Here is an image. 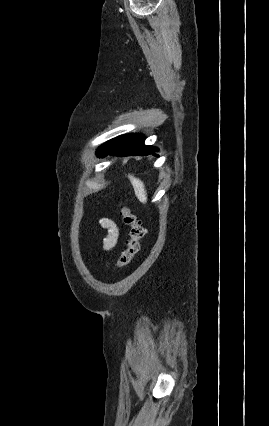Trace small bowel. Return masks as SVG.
Here are the masks:
<instances>
[{"label":"small bowel","instance_id":"c3829d8e","mask_svg":"<svg viewBox=\"0 0 269 426\" xmlns=\"http://www.w3.org/2000/svg\"><path fill=\"white\" fill-rule=\"evenodd\" d=\"M99 224L107 231V234L103 239L102 249L103 251L108 252L116 246L119 234L118 227L114 221L105 217L99 219Z\"/></svg>","mask_w":269,"mask_h":426}]
</instances>
